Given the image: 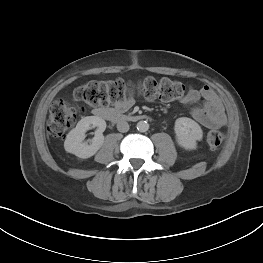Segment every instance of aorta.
<instances>
[{
  "mask_svg": "<svg viewBox=\"0 0 263 263\" xmlns=\"http://www.w3.org/2000/svg\"><path fill=\"white\" fill-rule=\"evenodd\" d=\"M149 129V124L147 121H139L137 123V130L140 132H146Z\"/></svg>",
  "mask_w": 263,
  "mask_h": 263,
  "instance_id": "762f6f07",
  "label": "aorta"
}]
</instances>
